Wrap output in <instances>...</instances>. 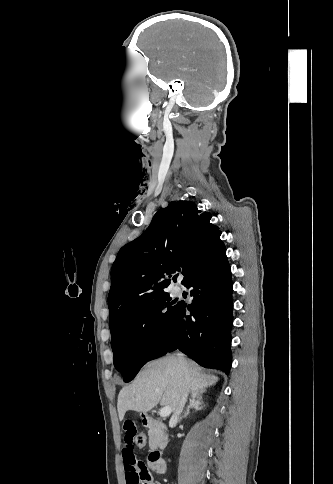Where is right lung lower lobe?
I'll return each instance as SVG.
<instances>
[{"label": "right lung lower lobe", "instance_id": "obj_1", "mask_svg": "<svg viewBox=\"0 0 333 484\" xmlns=\"http://www.w3.org/2000/svg\"><path fill=\"white\" fill-rule=\"evenodd\" d=\"M192 303L180 305L150 360L179 349L200 365L229 373L232 363V280L225 245L185 284ZM186 309L190 315L186 316Z\"/></svg>", "mask_w": 333, "mask_h": 484}]
</instances>
